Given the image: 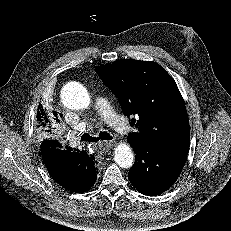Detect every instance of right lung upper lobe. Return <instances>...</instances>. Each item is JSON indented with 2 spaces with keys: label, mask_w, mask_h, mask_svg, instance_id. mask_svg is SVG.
<instances>
[{
  "label": "right lung upper lobe",
  "mask_w": 231,
  "mask_h": 231,
  "mask_svg": "<svg viewBox=\"0 0 231 231\" xmlns=\"http://www.w3.org/2000/svg\"><path fill=\"white\" fill-rule=\"evenodd\" d=\"M48 118V114L45 112L43 107L39 105L37 109V121L40 131H44L46 127L50 125L51 122ZM43 142H47L50 144L59 143L56 140H44ZM63 148L64 155L66 156L62 157L63 160H59L57 162H49V160H45L44 163L48 171L51 174L55 175L57 178H59L61 184L73 186L75 182L79 179L78 166L85 163H83L82 160L79 159L80 151L78 149L73 150L68 146ZM68 155L70 157H68Z\"/></svg>",
  "instance_id": "right-lung-upper-lobe-1"
}]
</instances>
